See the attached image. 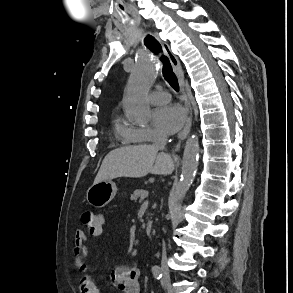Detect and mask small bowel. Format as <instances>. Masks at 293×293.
<instances>
[{"label":"small bowel","mask_w":293,"mask_h":293,"mask_svg":"<svg viewBox=\"0 0 293 293\" xmlns=\"http://www.w3.org/2000/svg\"><path fill=\"white\" fill-rule=\"evenodd\" d=\"M98 216L101 219L102 226L98 231L90 233L93 237H99L102 234V227L106 224L105 216L103 214H98ZM87 239L88 235L85 231L77 230L75 232V264L82 272L87 270V259L89 257V251L86 246ZM111 277L114 286H116L123 293H141L140 270L137 265H119L114 268ZM78 287L80 293H90L91 288L96 286L90 276L83 275L79 279ZM97 293H99L98 288Z\"/></svg>","instance_id":"small-bowel-1"}]
</instances>
